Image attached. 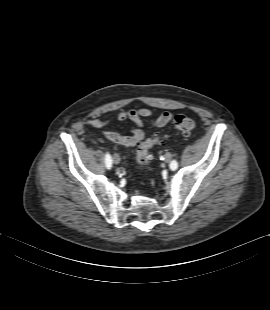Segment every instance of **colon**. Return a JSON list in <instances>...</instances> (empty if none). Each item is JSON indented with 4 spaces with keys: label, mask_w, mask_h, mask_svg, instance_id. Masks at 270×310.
<instances>
[{
    "label": "colon",
    "mask_w": 270,
    "mask_h": 310,
    "mask_svg": "<svg viewBox=\"0 0 270 310\" xmlns=\"http://www.w3.org/2000/svg\"><path fill=\"white\" fill-rule=\"evenodd\" d=\"M173 126L176 130L184 134H189L195 128V121L185 115H176L173 119ZM162 140V136L156 135L137 144L136 160L140 170H146L149 168L152 160L151 149L160 144Z\"/></svg>",
    "instance_id": "colon-1"
}]
</instances>
